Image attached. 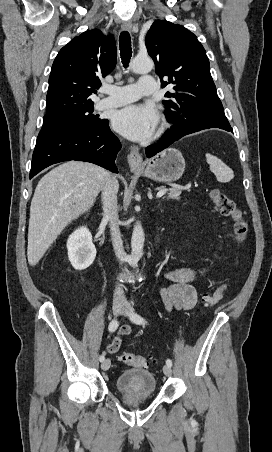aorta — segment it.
Instances as JSON below:
<instances>
[{
  "mask_svg": "<svg viewBox=\"0 0 272 452\" xmlns=\"http://www.w3.org/2000/svg\"><path fill=\"white\" fill-rule=\"evenodd\" d=\"M154 67L152 59L145 57H136L132 62V70L136 73H148ZM145 241V235L142 225L137 221L133 228L132 238H131V249L134 258L137 260L142 254L143 246Z\"/></svg>",
  "mask_w": 272,
  "mask_h": 452,
  "instance_id": "762f6f07",
  "label": "aorta"
}]
</instances>
